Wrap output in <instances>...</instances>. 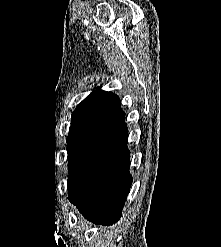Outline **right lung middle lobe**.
I'll return each mask as SVG.
<instances>
[{"label":"right lung middle lobe","mask_w":221,"mask_h":247,"mask_svg":"<svg viewBox=\"0 0 221 247\" xmlns=\"http://www.w3.org/2000/svg\"><path fill=\"white\" fill-rule=\"evenodd\" d=\"M79 133H80V130L70 129L69 135L67 137V143L69 144Z\"/></svg>","instance_id":"1"}]
</instances>
